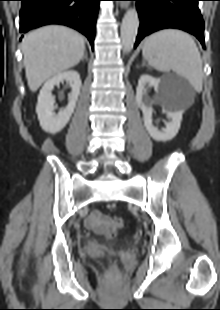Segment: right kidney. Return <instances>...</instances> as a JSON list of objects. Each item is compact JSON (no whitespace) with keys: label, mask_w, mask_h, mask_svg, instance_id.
<instances>
[{"label":"right kidney","mask_w":220,"mask_h":310,"mask_svg":"<svg viewBox=\"0 0 220 310\" xmlns=\"http://www.w3.org/2000/svg\"><path fill=\"white\" fill-rule=\"evenodd\" d=\"M63 81L69 83L72 91L68 96V105L63 110H60L58 114H55L54 110L56 109V106L52 90L55 85H59ZM80 89V75L75 70L60 72L45 82L39 93L36 106L38 120L44 131L55 134L60 132L66 126L76 107Z\"/></svg>","instance_id":"ca27d5eb"}]
</instances>
